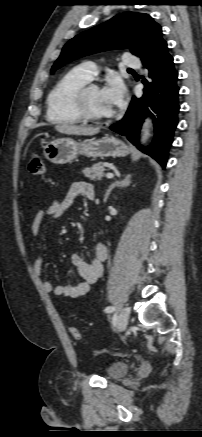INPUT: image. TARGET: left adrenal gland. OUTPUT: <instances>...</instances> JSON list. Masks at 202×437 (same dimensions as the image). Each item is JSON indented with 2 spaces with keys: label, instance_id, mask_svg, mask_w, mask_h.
Instances as JSON below:
<instances>
[{
  "label": "left adrenal gland",
  "instance_id": "1",
  "mask_svg": "<svg viewBox=\"0 0 202 437\" xmlns=\"http://www.w3.org/2000/svg\"><path fill=\"white\" fill-rule=\"evenodd\" d=\"M131 175H127L124 179H120V180H116L115 182H113L108 189L106 190L105 196H104V201L106 202L111 191L115 188V187H127L131 184Z\"/></svg>",
  "mask_w": 202,
  "mask_h": 437
}]
</instances>
